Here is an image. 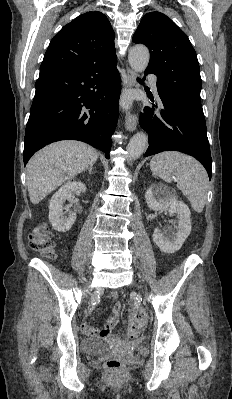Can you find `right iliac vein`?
<instances>
[{
    "instance_id": "1",
    "label": "right iliac vein",
    "mask_w": 232,
    "mask_h": 399,
    "mask_svg": "<svg viewBox=\"0 0 232 399\" xmlns=\"http://www.w3.org/2000/svg\"><path fill=\"white\" fill-rule=\"evenodd\" d=\"M83 304H84V305H87V304H88V301H87V300H84V301H83Z\"/></svg>"
}]
</instances>
